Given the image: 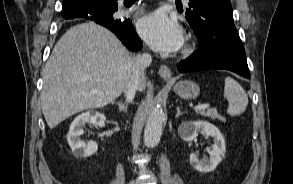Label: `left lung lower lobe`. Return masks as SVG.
<instances>
[{
	"instance_id": "0a47b994",
	"label": "left lung lower lobe",
	"mask_w": 293,
	"mask_h": 184,
	"mask_svg": "<svg viewBox=\"0 0 293 184\" xmlns=\"http://www.w3.org/2000/svg\"><path fill=\"white\" fill-rule=\"evenodd\" d=\"M217 33L213 39L198 38L199 49L187 60L178 65L180 72H192L206 69H226L249 78L245 50L235 26Z\"/></svg>"
}]
</instances>
